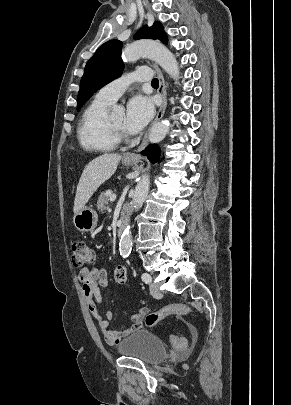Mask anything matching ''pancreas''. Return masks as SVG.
Masks as SVG:
<instances>
[{
	"label": "pancreas",
	"mask_w": 291,
	"mask_h": 405,
	"mask_svg": "<svg viewBox=\"0 0 291 405\" xmlns=\"http://www.w3.org/2000/svg\"><path fill=\"white\" fill-rule=\"evenodd\" d=\"M109 198H110V196L108 195L107 191L102 192L101 195L99 196V199L97 202V209L100 212H103L105 209L108 208Z\"/></svg>",
	"instance_id": "pancreas-1"
}]
</instances>
